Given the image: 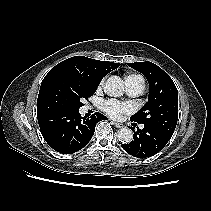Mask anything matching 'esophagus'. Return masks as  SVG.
Returning <instances> with one entry per match:
<instances>
[{"label": "esophagus", "instance_id": "esophagus-1", "mask_svg": "<svg viewBox=\"0 0 211 211\" xmlns=\"http://www.w3.org/2000/svg\"><path fill=\"white\" fill-rule=\"evenodd\" d=\"M111 123H112L116 128H119V129L124 127L123 124L117 123V122H115V121H112Z\"/></svg>", "mask_w": 211, "mask_h": 211}]
</instances>
